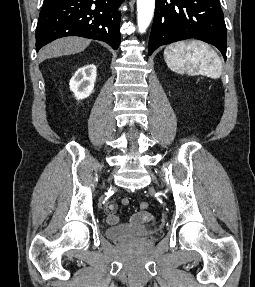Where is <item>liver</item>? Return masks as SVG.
Wrapping results in <instances>:
<instances>
[{
    "instance_id": "6515ba94",
    "label": "liver",
    "mask_w": 255,
    "mask_h": 287,
    "mask_svg": "<svg viewBox=\"0 0 255 287\" xmlns=\"http://www.w3.org/2000/svg\"><path fill=\"white\" fill-rule=\"evenodd\" d=\"M91 40L85 38H60L52 44H48L39 52V60H47V58H58V56H69V54H79L89 46Z\"/></svg>"
}]
</instances>
